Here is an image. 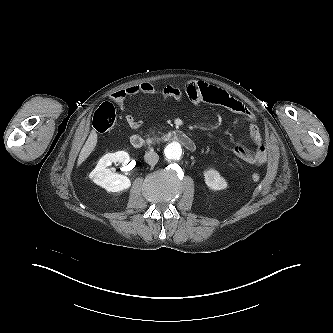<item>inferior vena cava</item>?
Returning a JSON list of instances; mask_svg holds the SVG:
<instances>
[{"instance_id": "1", "label": "inferior vena cava", "mask_w": 333, "mask_h": 333, "mask_svg": "<svg viewBox=\"0 0 333 333\" xmlns=\"http://www.w3.org/2000/svg\"><path fill=\"white\" fill-rule=\"evenodd\" d=\"M144 160L146 163L153 166L158 162L159 156L156 152H154L153 150H150L145 153Z\"/></svg>"}]
</instances>
